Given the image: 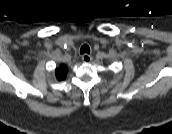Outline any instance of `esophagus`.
I'll list each match as a JSON object with an SVG mask.
<instances>
[{
    "mask_svg": "<svg viewBox=\"0 0 172 134\" xmlns=\"http://www.w3.org/2000/svg\"><path fill=\"white\" fill-rule=\"evenodd\" d=\"M81 58H82V61L85 63H90L93 59L92 56L89 54H83Z\"/></svg>",
    "mask_w": 172,
    "mask_h": 134,
    "instance_id": "obj_1",
    "label": "esophagus"
}]
</instances>
